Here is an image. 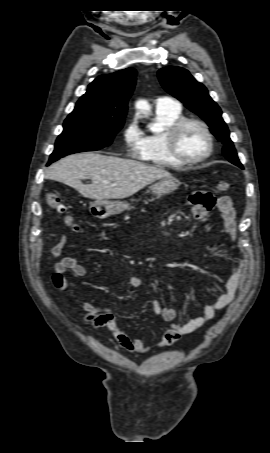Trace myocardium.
<instances>
[{"label":"myocardium","mask_w":270,"mask_h":453,"mask_svg":"<svg viewBox=\"0 0 270 453\" xmlns=\"http://www.w3.org/2000/svg\"><path fill=\"white\" fill-rule=\"evenodd\" d=\"M187 125H196L201 128V130L204 132V134L207 137L208 141V147L207 151L201 155L200 157L197 158H189L184 156L182 153H180L179 148H178V140L179 136L182 132V130L187 126ZM165 144L168 153L170 156L176 160L177 162L181 164H198L206 159H208L214 150V138L213 135L208 127V125L196 118H181L177 120L167 131L166 136H165Z\"/></svg>","instance_id":"obj_1"}]
</instances>
